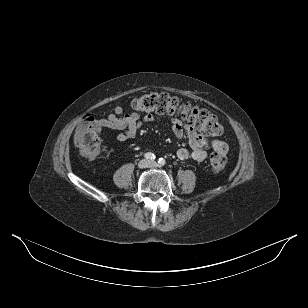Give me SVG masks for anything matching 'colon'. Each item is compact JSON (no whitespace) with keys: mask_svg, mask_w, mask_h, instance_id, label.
<instances>
[{"mask_svg":"<svg viewBox=\"0 0 308 308\" xmlns=\"http://www.w3.org/2000/svg\"><path fill=\"white\" fill-rule=\"evenodd\" d=\"M132 108L137 112L178 116L188 125L210 137H217L223 133V127L216 116L167 93L144 94L132 102ZM101 127L100 120L92 114H86L77 126L74 142L83 156L92 159L98 155L100 149L98 132ZM226 161L224 154L213 153L209 160L211 171L221 172L225 168Z\"/></svg>","mask_w":308,"mask_h":308,"instance_id":"5ec220e1","label":"colon"}]
</instances>
